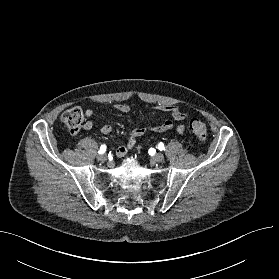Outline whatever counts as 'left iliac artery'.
Listing matches in <instances>:
<instances>
[{
    "instance_id": "1",
    "label": "left iliac artery",
    "mask_w": 279,
    "mask_h": 279,
    "mask_svg": "<svg viewBox=\"0 0 279 279\" xmlns=\"http://www.w3.org/2000/svg\"><path fill=\"white\" fill-rule=\"evenodd\" d=\"M158 149H159V150H164V149H165L164 144H163V143H159V144H158Z\"/></svg>"
}]
</instances>
